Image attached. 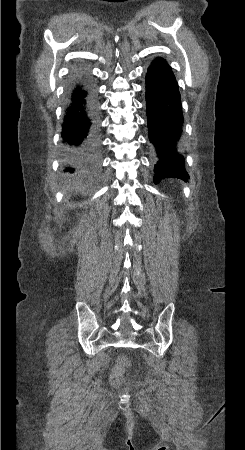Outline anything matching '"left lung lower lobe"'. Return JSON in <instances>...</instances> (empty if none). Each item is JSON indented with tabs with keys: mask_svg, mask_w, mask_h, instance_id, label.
Returning a JSON list of instances; mask_svg holds the SVG:
<instances>
[{
	"mask_svg": "<svg viewBox=\"0 0 245 450\" xmlns=\"http://www.w3.org/2000/svg\"><path fill=\"white\" fill-rule=\"evenodd\" d=\"M145 80L149 137L158 157L154 182L168 177L186 181L189 175L179 147L184 118L178 83L162 58L152 62Z\"/></svg>",
	"mask_w": 245,
	"mask_h": 450,
	"instance_id": "0a47b994",
	"label": "left lung lower lobe"
}]
</instances>
